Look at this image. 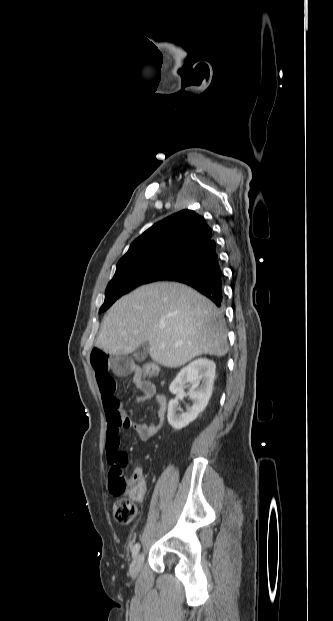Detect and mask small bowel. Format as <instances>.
<instances>
[{
  "instance_id": "1",
  "label": "small bowel",
  "mask_w": 333,
  "mask_h": 621,
  "mask_svg": "<svg viewBox=\"0 0 333 621\" xmlns=\"http://www.w3.org/2000/svg\"><path fill=\"white\" fill-rule=\"evenodd\" d=\"M90 361L95 372L97 385L101 394L103 408L107 420V439L106 450L107 459L112 468L121 463L127 464V455L120 449V434L123 430L133 429L135 434L142 440L147 441L156 435L164 422L167 401L159 394L156 387L142 377L133 376L134 382L142 395L136 398V403L140 404L154 399L158 405V422L152 424L136 423L127 417L123 411L120 401L116 397V383L110 372L121 373L128 368V362L121 357H113L104 349L96 347L91 351ZM143 476L142 469H136L132 477ZM144 495L137 500H142Z\"/></svg>"
}]
</instances>
